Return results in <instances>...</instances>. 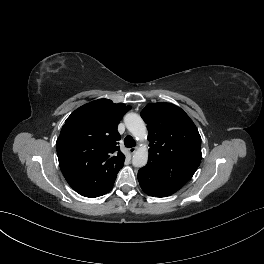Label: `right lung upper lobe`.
I'll use <instances>...</instances> for the list:
<instances>
[{"label": "right lung upper lobe", "instance_id": "cb5924a9", "mask_svg": "<svg viewBox=\"0 0 264 264\" xmlns=\"http://www.w3.org/2000/svg\"><path fill=\"white\" fill-rule=\"evenodd\" d=\"M131 109L99 99L76 109L65 121L56 142L61 171L80 195L98 197L108 193L123 167L117 125Z\"/></svg>", "mask_w": 264, "mask_h": 264}]
</instances>
